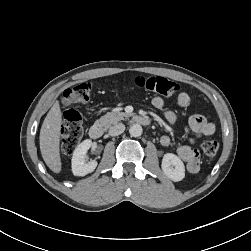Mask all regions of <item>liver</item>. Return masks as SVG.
I'll list each match as a JSON object with an SVG mask.
<instances>
[{"label": "liver", "instance_id": "1", "mask_svg": "<svg viewBox=\"0 0 251 251\" xmlns=\"http://www.w3.org/2000/svg\"><path fill=\"white\" fill-rule=\"evenodd\" d=\"M62 113L56 101L45 117L39 136L40 151L46 165L54 172L61 171L60 136Z\"/></svg>", "mask_w": 251, "mask_h": 251}]
</instances>
